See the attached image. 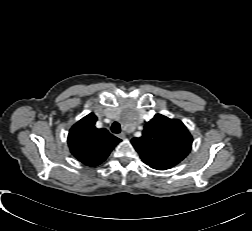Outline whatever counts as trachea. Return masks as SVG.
<instances>
[{"label": "trachea", "mask_w": 252, "mask_h": 231, "mask_svg": "<svg viewBox=\"0 0 252 231\" xmlns=\"http://www.w3.org/2000/svg\"><path fill=\"white\" fill-rule=\"evenodd\" d=\"M111 131L113 133H120L121 132L120 124L118 122H114L111 126Z\"/></svg>", "instance_id": "obj_1"}]
</instances>
